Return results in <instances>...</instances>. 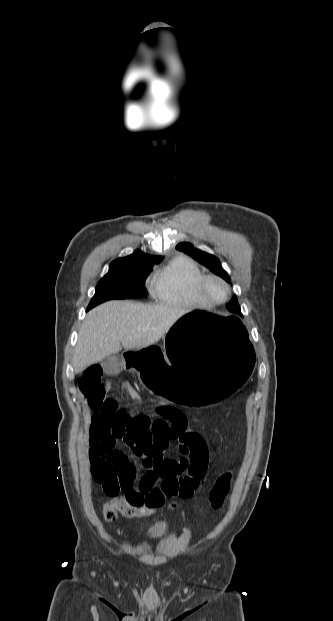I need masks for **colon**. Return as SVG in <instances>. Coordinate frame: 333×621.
Wrapping results in <instances>:
<instances>
[{"label":"colon","instance_id":"colon-1","mask_svg":"<svg viewBox=\"0 0 333 621\" xmlns=\"http://www.w3.org/2000/svg\"><path fill=\"white\" fill-rule=\"evenodd\" d=\"M92 475L102 485L105 494L110 497L103 507L104 517L107 521H115L118 513L139 517L149 515L160 509L156 506L132 507L123 497H119L121 491L129 490L136 482V468L130 461H127L125 466L120 469L107 462L100 463ZM229 489L230 474L224 473L218 478L210 492L209 502L212 508L218 509L223 505ZM171 506L172 508L176 507V504L173 503Z\"/></svg>","mask_w":333,"mask_h":621}]
</instances>
